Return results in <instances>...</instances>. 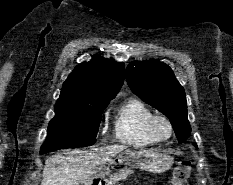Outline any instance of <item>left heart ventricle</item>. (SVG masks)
<instances>
[{
	"label": "left heart ventricle",
	"mask_w": 233,
	"mask_h": 185,
	"mask_svg": "<svg viewBox=\"0 0 233 185\" xmlns=\"http://www.w3.org/2000/svg\"><path fill=\"white\" fill-rule=\"evenodd\" d=\"M158 131L164 137L168 136L169 134L168 126L164 122H160L158 124Z\"/></svg>",
	"instance_id": "b2bd125f"
}]
</instances>
